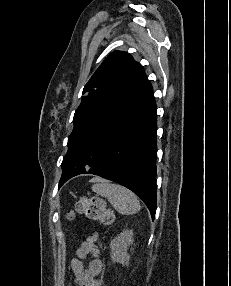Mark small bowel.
<instances>
[{
	"label": "small bowel",
	"mask_w": 231,
	"mask_h": 286,
	"mask_svg": "<svg viewBox=\"0 0 231 286\" xmlns=\"http://www.w3.org/2000/svg\"><path fill=\"white\" fill-rule=\"evenodd\" d=\"M97 233L87 237L76 252V257L71 260V269L79 286H101L97 276L101 273L103 263L100 259V251L96 246ZM88 255L92 256L88 267L84 268L82 260Z\"/></svg>",
	"instance_id": "c3829d8e"
}]
</instances>
